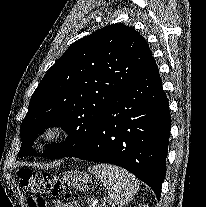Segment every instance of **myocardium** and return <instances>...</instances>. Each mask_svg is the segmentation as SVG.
I'll return each mask as SVG.
<instances>
[{"label":"myocardium","mask_w":206,"mask_h":207,"mask_svg":"<svg viewBox=\"0 0 206 207\" xmlns=\"http://www.w3.org/2000/svg\"><path fill=\"white\" fill-rule=\"evenodd\" d=\"M70 135L67 126L60 123H52L44 126L36 136V142L40 146H54L64 142Z\"/></svg>","instance_id":"obj_1"}]
</instances>
